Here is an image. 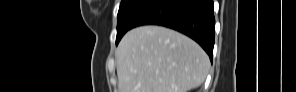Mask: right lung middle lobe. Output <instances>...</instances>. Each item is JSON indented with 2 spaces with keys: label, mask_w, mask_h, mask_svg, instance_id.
Instances as JSON below:
<instances>
[{
  "label": "right lung middle lobe",
  "mask_w": 296,
  "mask_h": 92,
  "mask_svg": "<svg viewBox=\"0 0 296 92\" xmlns=\"http://www.w3.org/2000/svg\"><path fill=\"white\" fill-rule=\"evenodd\" d=\"M154 0H122L117 15L116 45L122 36L132 28L134 20Z\"/></svg>",
  "instance_id": "right-lung-middle-lobe-1"
}]
</instances>
